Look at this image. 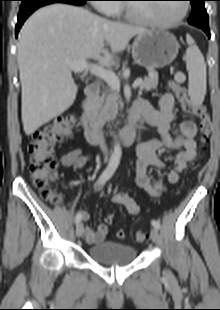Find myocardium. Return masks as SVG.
Wrapping results in <instances>:
<instances>
[{
  "label": "myocardium",
  "mask_w": 220,
  "mask_h": 310,
  "mask_svg": "<svg viewBox=\"0 0 220 310\" xmlns=\"http://www.w3.org/2000/svg\"><path fill=\"white\" fill-rule=\"evenodd\" d=\"M188 4L186 2L182 3V10L180 14L169 20V21H156L150 18L138 16L134 13L132 5L131 4H124L123 5V12L125 14V17L129 19L132 22L154 27V28H170L178 25L187 15L188 13Z\"/></svg>",
  "instance_id": "obj_1"
}]
</instances>
